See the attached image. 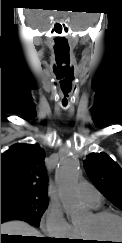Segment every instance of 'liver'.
<instances>
[{
    "label": "liver",
    "instance_id": "obj_1",
    "mask_svg": "<svg viewBox=\"0 0 122 243\" xmlns=\"http://www.w3.org/2000/svg\"><path fill=\"white\" fill-rule=\"evenodd\" d=\"M1 234L42 237L38 230L23 221H9L1 224Z\"/></svg>",
    "mask_w": 122,
    "mask_h": 243
}]
</instances>
